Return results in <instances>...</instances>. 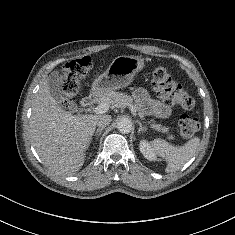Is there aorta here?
Masks as SVG:
<instances>
[{"instance_id": "obj_1", "label": "aorta", "mask_w": 235, "mask_h": 235, "mask_svg": "<svg viewBox=\"0 0 235 235\" xmlns=\"http://www.w3.org/2000/svg\"><path fill=\"white\" fill-rule=\"evenodd\" d=\"M117 129L120 133L127 134L132 130V122L127 118H122L117 123Z\"/></svg>"}]
</instances>
